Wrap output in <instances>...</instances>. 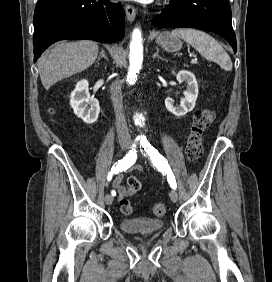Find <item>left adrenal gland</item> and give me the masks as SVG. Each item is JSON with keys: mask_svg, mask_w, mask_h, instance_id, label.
I'll return each instance as SVG.
<instances>
[{"mask_svg": "<svg viewBox=\"0 0 272 282\" xmlns=\"http://www.w3.org/2000/svg\"><path fill=\"white\" fill-rule=\"evenodd\" d=\"M153 58H159V59H162L164 61H167L165 58H163L159 55V48L158 47H156V52L153 54Z\"/></svg>", "mask_w": 272, "mask_h": 282, "instance_id": "obj_1", "label": "left adrenal gland"}]
</instances>
